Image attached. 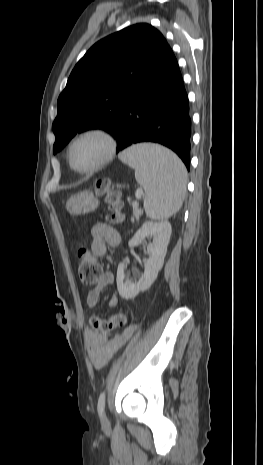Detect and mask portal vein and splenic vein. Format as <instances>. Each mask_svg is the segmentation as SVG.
Segmentation results:
<instances>
[{
	"label": "portal vein and splenic vein",
	"instance_id": "1",
	"mask_svg": "<svg viewBox=\"0 0 263 465\" xmlns=\"http://www.w3.org/2000/svg\"><path fill=\"white\" fill-rule=\"evenodd\" d=\"M142 194H143V190H142V189H138V190L136 191V193H135L136 198H137V199H140L141 196H142ZM132 205H133V207H137V206H138V202H133Z\"/></svg>",
	"mask_w": 263,
	"mask_h": 465
}]
</instances>
